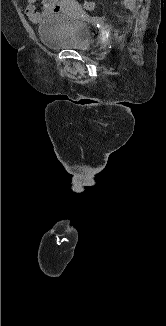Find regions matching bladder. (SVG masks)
Here are the masks:
<instances>
[{
    "label": "bladder",
    "instance_id": "obj_1",
    "mask_svg": "<svg viewBox=\"0 0 166 326\" xmlns=\"http://www.w3.org/2000/svg\"><path fill=\"white\" fill-rule=\"evenodd\" d=\"M38 35L48 49L86 51L91 45L89 26L79 17L53 13L38 23Z\"/></svg>",
    "mask_w": 166,
    "mask_h": 326
}]
</instances>
